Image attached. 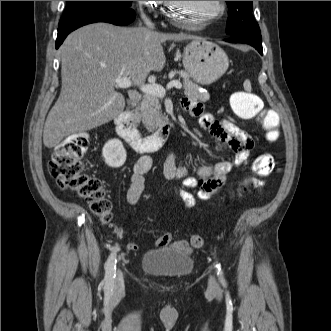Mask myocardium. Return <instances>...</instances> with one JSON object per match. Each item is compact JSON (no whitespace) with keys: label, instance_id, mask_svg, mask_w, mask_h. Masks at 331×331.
I'll return each mask as SVG.
<instances>
[{"label":"myocardium","instance_id":"myocardium-1","mask_svg":"<svg viewBox=\"0 0 331 331\" xmlns=\"http://www.w3.org/2000/svg\"><path fill=\"white\" fill-rule=\"evenodd\" d=\"M166 3H167L166 16L174 25L182 26V27H184V26L200 27V26L206 25L207 23L222 17L225 12V8H226L225 1H218V10L214 14L210 15L207 18L202 19L198 23L190 24L188 22H184V21L178 19L175 16L174 9H175L176 3H177L176 1H166Z\"/></svg>","mask_w":331,"mask_h":331}]
</instances>
